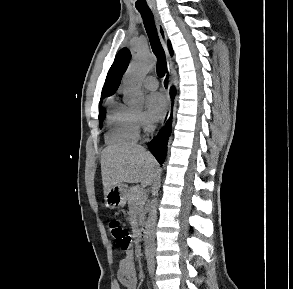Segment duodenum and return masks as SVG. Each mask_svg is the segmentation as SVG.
I'll use <instances>...</instances> for the list:
<instances>
[{"label": "duodenum", "instance_id": "duodenum-1", "mask_svg": "<svg viewBox=\"0 0 293 289\" xmlns=\"http://www.w3.org/2000/svg\"><path fill=\"white\" fill-rule=\"evenodd\" d=\"M147 237V227L145 225H142L136 234V238L140 241V242H144L146 240Z\"/></svg>", "mask_w": 293, "mask_h": 289}]
</instances>
